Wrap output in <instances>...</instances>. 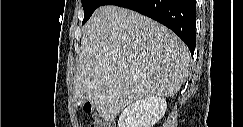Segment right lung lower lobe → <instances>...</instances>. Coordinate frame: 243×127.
<instances>
[{
    "label": "right lung lower lobe",
    "mask_w": 243,
    "mask_h": 127,
    "mask_svg": "<svg viewBox=\"0 0 243 127\" xmlns=\"http://www.w3.org/2000/svg\"><path fill=\"white\" fill-rule=\"evenodd\" d=\"M104 5L128 8L170 28L194 54L196 0H105Z\"/></svg>",
    "instance_id": "1"
}]
</instances>
